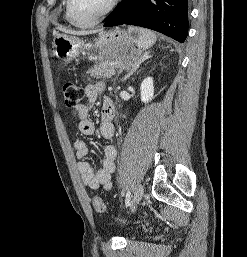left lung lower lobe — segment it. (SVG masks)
<instances>
[{
    "label": "left lung lower lobe",
    "instance_id": "left-lung-lower-lobe-1",
    "mask_svg": "<svg viewBox=\"0 0 247 257\" xmlns=\"http://www.w3.org/2000/svg\"><path fill=\"white\" fill-rule=\"evenodd\" d=\"M106 19L105 27L137 25L182 43L188 33V0H123Z\"/></svg>",
    "mask_w": 247,
    "mask_h": 257
}]
</instances>
